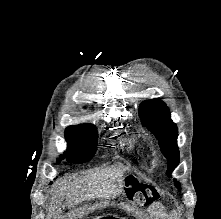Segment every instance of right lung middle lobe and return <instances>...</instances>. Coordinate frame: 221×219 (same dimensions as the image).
I'll return each instance as SVG.
<instances>
[{"label":"right lung middle lobe","mask_w":221,"mask_h":219,"mask_svg":"<svg viewBox=\"0 0 221 219\" xmlns=\"http://www.w3.org/2000/svg\"><path fill=\"white\" fill-rule=\"evenodd\" d=\"M67 150L60 156L69 163H84L92 159L97 149V128L91 124L69 126L65 130Z\"/></svg>","instance_id":"1"}]
</instances>
